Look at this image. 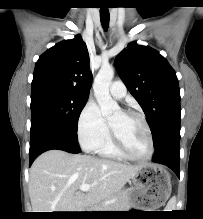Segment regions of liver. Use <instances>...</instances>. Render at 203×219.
Listing matches in <instances>:
<instances>
[{
    "instance_id": "liver-1",
    "label": "liver",
    "mask_w": 203,
    "mask_h": 219,
    "mask_svg": "<svg viewBox=\"0 0 203 219\" xmlns=\"http://www.w3.org/2000/svg\"><path fill=\"white\" fill-rule=\"evenodd\" d=\"M140 167L61 150L47 151L30 168L33 212H83L119 192ZM82 184L93 186L83 193Z\"/></svg>"
}]
</instances>
